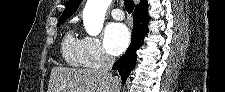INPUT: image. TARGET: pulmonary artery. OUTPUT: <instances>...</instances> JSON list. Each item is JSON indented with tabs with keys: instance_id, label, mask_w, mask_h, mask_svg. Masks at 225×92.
I'll return each mask as SVG.
<instances>
[{
	"instance_id": "pulmonary-artery-1",
	"label": "pulmonary artery",
	"mask_w": 225,
	"mask_h": 92,
	"mask_svg": "<svg viewBox=\"0 0 225 92\" xmlns=\"http://www.w3.org/2000/svg\"><path fill=\"white\" fill-rule=\"evenodd\" d=\"M111 16L115 19V20H122L124 19V13L121 9L116 8L114 10L111 11Z\"/></svg>"
}]
</instances>
